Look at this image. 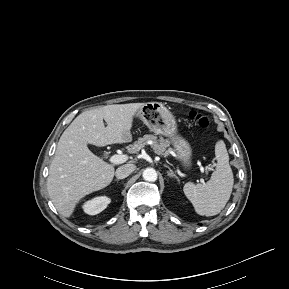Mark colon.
<instances>
[{
	"label": "colon",
	"instance_id": "1",
	"mask_svg": "<svg viewBox=\"0 0 289 289\" xmlns=\"http://www.w3.org/2000/svg\"><path fill=\"white\" fill-rule=\"evenodd\" d=\"M190 117L193 118L197 122L198 126L201 128H206L209 125L208 118L201 114L191 112Z\"/></svg>",
	"mask_w": 289,
	"mask_h": 289
}]
</instances>
